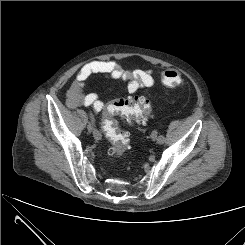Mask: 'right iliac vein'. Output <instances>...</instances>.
<instances>
[{
    "label": "right iliac vein",
    "instance_id": "1",
    "mask_svg": "<svg viewBox=\"0 0 245 245\" xmlns=\"http://www.w3.org/2000/svg\"><path fill=\"white\" fill-rule=\"evenodd\" d=\"M87 130H88L89 133H91V132L93 131V128H92V124H91V123H89V124L87 125ZM93 135H94V138H95V139L99 140V136L97 135L96 132H93Z\"/></svg>",
    "mask_w": 245,
    "mask_h": 245
}]
</instances>
